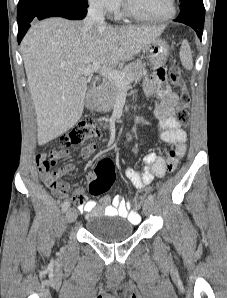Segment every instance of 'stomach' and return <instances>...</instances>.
<instances>
[{
	"label": "stomach",
	"mask_w": 227,
	"mask_h": 298,
	"mask_svg": "<svg viewBox=\"0 0 227 298\" xmlns=\"http://www.w3.org/2000/svg\"><path fill=\"white\" fill-rule=\"evenodd\" d=\"M143 50L147 54L150 65L157 68L166 63L170 47L164 39L158 38L146 45Z\"/></svg>",
	"instance_id": "stomach-1"
}]
</instances>
